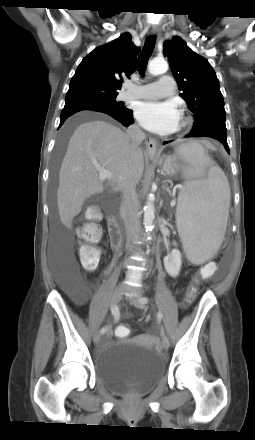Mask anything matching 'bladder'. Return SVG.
Returning <instances> with one entry per match:
<instances>
[{
  "label": "bladder",
  "instance_id": "1",
  "mask_svg": "<svg viewBox=\"0 0 255 440\" xmlns=\"http://www.w3.org/2000/svg\"><path fill=\"white\" fill-rule=\"evenodd\" d=\"M98 381L106 388L130 394L148 392L164 375L165 361L155 349L126 338L109 342L95 359Z\"/></svg>",
  "mask_w": 255,
  "mask_h": 440
}]
</instances>
